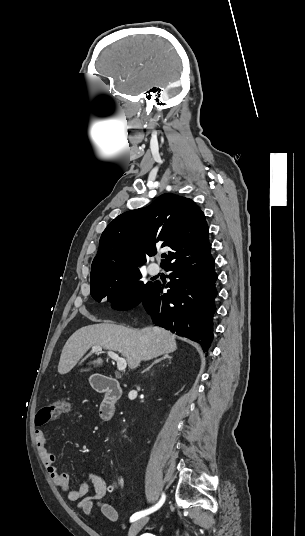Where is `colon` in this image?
Here are the masks:
<instances>
[{"label":"colon","mask_w":305,"mask_h":536,"mask_svg":"<svg viewBox=\"0 0 305 536\" xmlns=\"http://www.w3.org/2000/svg\"><path fill=\"white\" fill-rule=\"evenodd\" d=\"M69 405L70 403L68 401L60 399L45 406L42 411L37 412L36 418L33 420L34 425L41 427L48 422H52L54 416L66 413L69 409ZM115 489L117 493L116 497L117 499H120L122 492L121 485L116 483Z\"/></svg>","instance_id":"colon-1"}]
</instances>
